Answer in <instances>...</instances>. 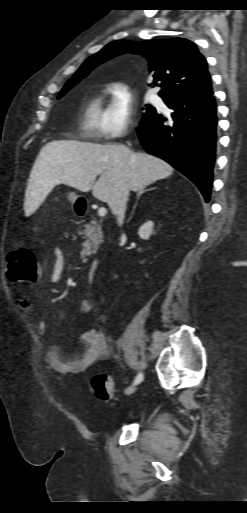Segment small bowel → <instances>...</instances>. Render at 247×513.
<instances>
[{
    "label": "small bowel",
    "instance_id": "c3829d8e",
    "mask_svg": "<svg viewBox=\"0 0 247 513\" xmlns=\"http://www.w3.org/2000/svg\"><path fill=\"white\" fill-rule=\"evenodd\" d=\"M53 262L49 275V283L56 284L62 280L64 254L56 247L53 252ZM23 309L31 313L32 307L27 301L22 302ZM93 305L90 300L83 299L79 305V312H91ZM38 332L42 338L50 335L48 323L44 320L38 322ZM81 347L74 354H67L55 345H48L43 352L45 364L53 371L64 374H79L87 371L98 362L107 360L111 355V345L101 329L88 327L81 331Z\"/></svg>",
    "mask_w": 247,
    "mask_h": 513
}]
</instances>
